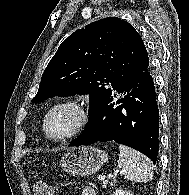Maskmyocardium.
Instances as JSON below:
<instances>
[{
	"label": "myocardium",
	"instance_id": "1",
	"mask_svg": "<svg viewBox=\"0 0 189 195\" xmlns=\"http://www.w3.org/2000/svg\"><path fill=\"white\" fill-rule=\"evenodd\" d=\"M63 106H72L74 107L80 115V119L78 124L76 125V127L67 135L62 136V137H54L50 134L49 130H48V120L49 117L51 116V114L57 110L60 107ZM90 120V112L87 108V106L80 102L79 100L76 99H66V100H62L56 104H54L45 114L44 119H43V131L45 136L53 141V142H65L68 141L70 139H72L73 137L77 136L78 134H80L88 125V122Z\"/></svg>",
	"mask_w": 189,
	"mask_h": 195
}]
</instances>
